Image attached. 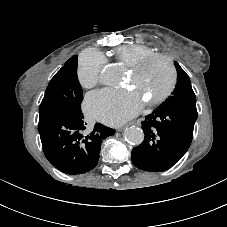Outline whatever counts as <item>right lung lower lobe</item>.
I'll list each match as a JSON object with an SVG mask.
<instances>
[{
    "label": "right lung lower lobe",
    "mask_w": 227,
    "mask_h": 227,
    "mask_svg": "<svg viewBox=\"0 0 227 227\" xmlns=\"http://www.w3.org/2000/svg\"><path fill=\"white\" fill-rule=\"evenodd\" d=\"M83 119V114L62 113L38 125L46 158L63 173L77 175L92 170L98 163L102 141L115 133L96 123L85 136Z\"/></svg>",
    "instance_id": "1"
}]
</instances>
